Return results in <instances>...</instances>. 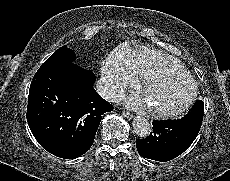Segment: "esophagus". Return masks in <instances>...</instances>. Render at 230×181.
I'll return each instance as SVG.
<instances>
[{"label": "esophagus", "mask_w": 230, "mask_h": 181, "mask_svg": "<svg viewBox=\"0 0 230 181\" xmlns=\"http://www.w3.org/2000/svg\"><path fill=\"white\" fill-rule=\"evenodd\" d=\"M123 115L127 118V119H132L133 118V114L127 110H123Z\"/></svg>", "instance_id": "1"}]
</instances>
